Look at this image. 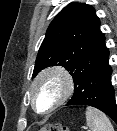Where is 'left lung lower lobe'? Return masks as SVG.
<instances>
[{"instance_id": "left-lung-lower-lobe-1", "label": "left lung lower lobe", "mask_w": 117, "mask_h": 131, "mask_svg": "<svg viewBox=\"0 0 117 131\" xmlns=\"http://www.w3.org/2000/svg\"><path fill=\"white\" fill-rule=\"evenodd\" d=\"M109 51L91 70L86 81L74 90L67 105H89L107 114L117 123V106L111 84L112 69L108 63Z\"/></svg>"}]
</instances>
